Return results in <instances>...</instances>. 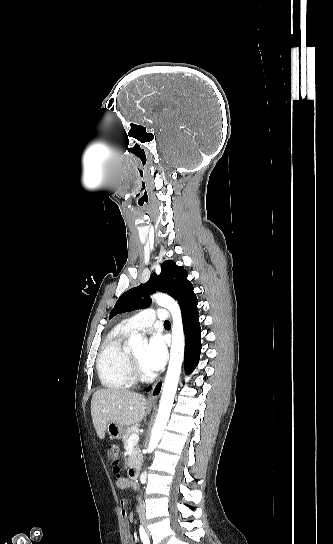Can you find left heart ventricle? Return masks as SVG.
Wrapping results in <instances>:
<instances>
[{
    "instance_id": "b2bd125f",
    "label": "left heart ventricle",
    "mask_w": 333,
    "mask_h": 544,
    "mask_svg": "<svg viewBox=\"0 0 333 544\" xmlns=\"http://www.w3.org/2000/svg\"><path fill=\"white\" fill-rule=\"evenodd\" d=\"M133 354L136 356V358L138 359V361L140 362L141 366L144 368L143 364H142V357H143V354L145 352V348H140V349H134L133 351ZM144 370H146L144 368ZM147 371V370H146Z\"/></svg>"
}]
</instances>
